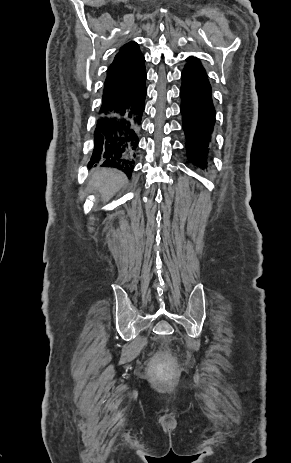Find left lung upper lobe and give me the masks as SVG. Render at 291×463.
<instances>
[{
  "label": "left lung upper lobe",
  "mask_w": 291,
  "mask_h": 463,
  "mask_svg": "<svg viewBox=\"0 0 291 463\" xmlns=\"http://www.w3.org/2000/svg\"><path fill=\"white\" fill-rule=\"evenodd\" d=\"M187 64L185 67H188V68H192V69H196V70H200V71H204L205 72V69L204 67L202 66L200 60L196 57H188L187 58Z\"/></svg>",
  "instance_id": "left-lung-upper-lobe-1"
}]
</instances>
